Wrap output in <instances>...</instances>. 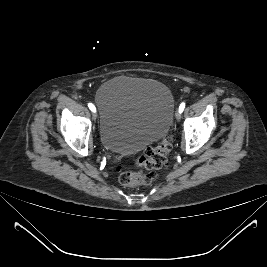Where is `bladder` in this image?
<instances>
[{"label": "bladder", "instance_id": "obj_1", "mask_svg": "<svg viewBox=\"0 0 267 267\" xmlns=\"http://www.w3.org/2000/svg\"><path fill=\"white\" fill-rule=\"evenodd\" d=\"M95 101L101 142L115 153H132L161 139L172 124L174 98L158 81L115 77L99 88Z\"/></svg>", "mask_w": 267, "mask_h": 267}]
</instances>
